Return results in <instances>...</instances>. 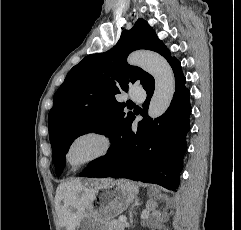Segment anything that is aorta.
Masks as SVG:
<instances>
[{
  "instance_id": "obj_1",
  "label": "aorta",
  "mask_w": 241,
  "mask_h": 230,
  "mask_svg": "<svg viewBox=\"0 0 241 230\" xmlns=\"http://www.w3.org/2000/svg\"><path fill=\"white\" fill-rule=\"evenodd\" d=\"M130 65L141 67L155 81V90L150 101L148 115L157 118L169 108L175 92V78L168 62L159 54L134 52L127 59Z\"/></svg>"
}]
</instances>
